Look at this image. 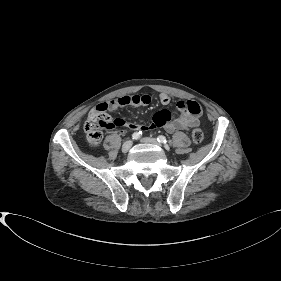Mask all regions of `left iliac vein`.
Returning a JSON list of instances; mask_svg holds the SVG:
<instances>
[{
  "mask_svg": "<svg viewBox=\"0 0 281 281\" xmlns=\"http://www.w3.org/2000/svg\"><path fill=\"white\" fill-rule=\"evenodd\" d=\"M141 141H142V142H145V143H151V144L160 146V143H159L158 140L155 139V138L145 137V138H142Z\"/></svg>",
  "mask_w": 281,
  "mask_h": 281,
  "instance_id": "obj_1",
  "label": "left iliac vein"
}]
</instances>
